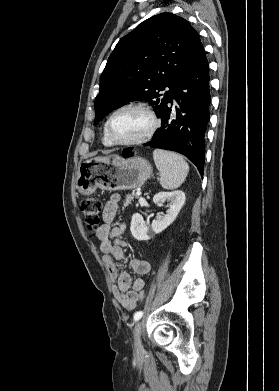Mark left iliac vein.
I'll return each mask as SVG.
<instances>
[{
  "label": "left iliac vein",
  "instance_id": "4c4485c4",
  "mask_svg": "<svg viewBox=\"0 0 279 391\" xmlns=\"http://www.w3.org/2000/svg\"><path fill=\"white\" fill-rule=\"evenodd\" d=\"M141 330H142V323H141V321H138L135 324L134 329H133L134 344L137 349H140L142 347Z\"/></svg>",
  "mask_w": 279,
  "mask_h": 391
}]
</instances>
